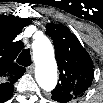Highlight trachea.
<instances>
[{
	"mask_svg": "<svg viewBox=\"0 0 103 103\" xmlns=\"http://www.w3.org/2000/svg\"><path fill=\"white\" fill-rule=\"evenodd\" d=\"M17 63L22 66H29L31 64V55L29 49H24L17 59Z\"/></svg>",
	"mask_w": 103,
	"mask_h": 103,
	"instance_id": "trachea-1",
	"label": "trachea"
}]
</instances>
